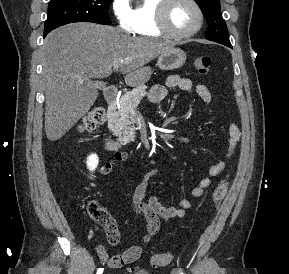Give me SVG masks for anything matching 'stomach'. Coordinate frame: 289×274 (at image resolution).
Segmentation results:
<instances>
[{
  "label": "stomach",
  "mask_w": 289,
  "mask_h": 274,
  "mask_svg": "<svg viewBox=\"0 0 289 274\" xmlns=\"http://www.w3.org/2000/svg\"><path fill=\"white\" fill-rule=\"evenodd\" d=\"M185 61V52L179 48H172L170 51L159 55L157 65L162 70H172L181 67Z\"/></svg>",
  "instance_id": "obj_1"
}]
</instances>
